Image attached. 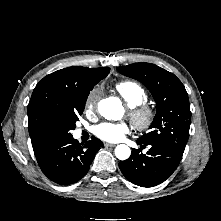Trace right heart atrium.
<instances>
[{"label":"right heart atrium","instance_id":"1","mask_svg":"<svg viewBox=\"0 0 221 221\" xmlns=\"http://www.w3.org/2000/svg\"><path fill=\"white\" fill-rule=\"evenodd\" d=\"M97 97H98L97 90H92L88 95L85 103V112L87 114H92L94 112L97 103Z\"/></svg>","mask_w":221,"mask_h":221}]
</instances>
